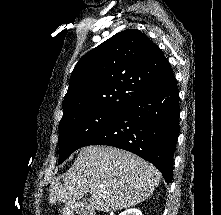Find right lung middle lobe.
<instances>
[{"instance_id":"right-lung-middle-lobe-1","label":"right lung middle lobe","mask_w":221,"mask_h":215,"mask_svg":"<svg viewBox=\"0 0 221 215\" xmlns=\"http://www.w3.org/2000/svg\"><path fill=\"white\" fill-rule=\"evenodd\" d=\"M119 111L87 109L62 117L59 126V164L92 136L116 120Z\"/></svg>"}]
</instances>
